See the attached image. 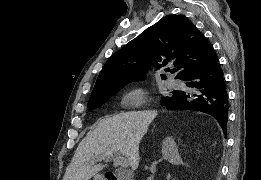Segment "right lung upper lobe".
Segmentation results:
<instances>
[{
  "instance_id": "obj_1",
  "label": "right lung upper lobe",
  "mask_w": 261,
  "mask_h": 180,
  "mask_svg": "<svg viewBox=\"0 0 261 180\" xmlns=\"http://www.w3.org/2000/svg\"><path fill=\"white\" fill-rule=\"evenodd\" d=\"M149 60L158 68L173 64L179 70L176 78L183 80L218 58L212 44L190 20L183 15H167L110 57L90 99L116 92L132 81L144 80Z\"/></svg>"
}]
</instances>
